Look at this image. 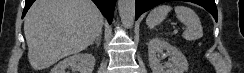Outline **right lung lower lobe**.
Listing matches in <instances>:
<instances>
[{
	"label": "right lung lower lobe",
	"instance_id": "obj_1",
	"mask_svg": "<svg viewBox=\"0 0 244 73\" xmlns=\"http://www.w3.org/2000/svg\"><path fill=\"white\" fill-rule=\"evenodd\" d=\"M35 0H25V8L22 14V18L27 13L30 6L33 4ZM102 14L107 18L108 22L111 23L113 19L114 7L116 0H92Z\"/></svg>",
	"mask_w": 244,
	"mask_h": 73
}]
</instances>
